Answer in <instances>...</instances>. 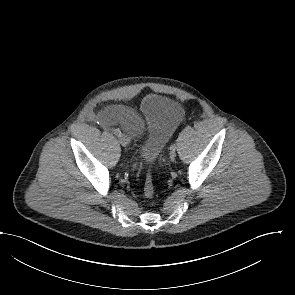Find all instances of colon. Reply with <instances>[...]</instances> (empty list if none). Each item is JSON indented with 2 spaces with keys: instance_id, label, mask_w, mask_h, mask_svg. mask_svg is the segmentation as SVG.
Listing matches in <instances>:
<instances>
[{
  "instance_id": "5ec220e1",
  "label": "colon",
  "mask_w": 295,
  "mask_h": 295,
  "mask_svg": "<svg viewBox=\"0 0 295 295\" xmlns=\"http://www.w3.org/2000/svg\"><path fill=\"white\" fill-rule=\"evenodd\" d=\"M143 193L147 198H151L154 196L155 188H154L153 180L150 174H148L145 179Z\"/></svg>"
}]
</instances>
